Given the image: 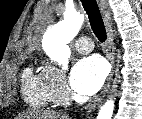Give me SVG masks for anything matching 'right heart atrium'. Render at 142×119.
Instances as JSON below:
<instances>
[{"mask_svg":"<svg viewBox=\"0 0 142 119\" xmlns=\"http://www.w3.org/2000/svg\"><path fill=\"white\" fill-rule=\"evenodd\" d=\"M42 72L48 79L53 102L64 103L69 98L70 92L63 73L52 65H46Z\"/></svg>","mask_w":142,"mask_h":119,"instance_id":"1","label":"right heart atrium"}]
</instances>
